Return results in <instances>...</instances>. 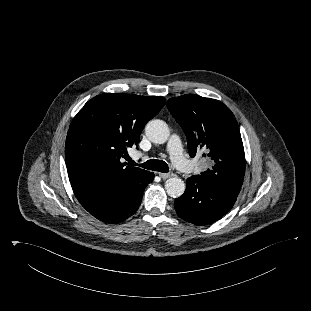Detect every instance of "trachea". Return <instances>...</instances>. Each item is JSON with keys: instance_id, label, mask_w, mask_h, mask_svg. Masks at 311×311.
Instances as JSON below:
<instances>
[{"instance_id": "3493384b", "label": "trachea", "mask_w": 311, "mask_h": 311, "mask_svg": "<svg viewBox=\"0 0 311 311\" xmlns=\"http://www.w3.org/2000/svg\"><path fill=\"white\" fill-rule=\"evenodd\" d=\"M129 163L131 165H137L131 159L129 160ZM140 166L145 168V169L152 170V171H159V172H163V173L169 172L168 164L163 160L151 159V160H148V161L140 164Z\"/></svg>"}]
</instances>
